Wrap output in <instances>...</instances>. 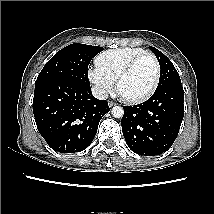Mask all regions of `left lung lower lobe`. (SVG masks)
Wrapping results in <instances>:
<instances>
[{"label": "left lung lower lobe", "instance_id": "left-lung-lower-lobe-1", "mask_svg": "<svg viewBox=\"0 0 214 214\" xmlns=\"http://www.w3.org/2000/svg\"><path fill=\"white\" fill-rule=\"evenodd\" d=\"M183 103V87L181 83H175L156 90L142 104L124 106L121 126L128 147L147 156L167 151L180 129Z\"/></svg>", "mask_w": 214, "mask_h": 214}]
</instances>
